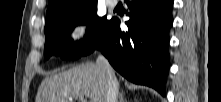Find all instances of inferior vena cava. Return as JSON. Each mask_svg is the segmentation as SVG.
I'll use <instances>...</instances> for the list:
<instances>
[{"label": "inferior vena cava", "instance_id": "obj_1", "mask_svg": "<svg viewBox=\"0 0 221 102\" xmlns=\"http://www.w3.org/2000/svg\"><path fill=\"white\" fill-rule=\"evenodd\" d=\"M97 65L103 67L107 74V92L106 102H117L118 97V84L112 67L108 60L103 56L99 55L96 60Z\"/></svg>", "mask_w": 221, "mask_h": 102}]
</instances>
